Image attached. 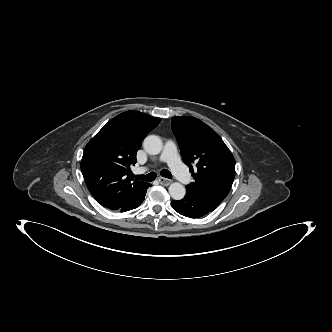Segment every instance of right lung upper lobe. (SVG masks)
Instances as JSON below:
<instances>
[{"mask_svg":"<svg viewBox=\"0 0 332 332\" xmlns=\"http://www.w3.org/2000/svg\"><path fill=\"white\" fill-rule=\"evenodd\" d=\"M161 119L127 111L110 120L86 145L81 171L95 200L106 208L119 207L148 183L133 181L131 166L145 136Z\"/></svg>","mask_w":332,"mask_h":332,"instance_id":"right-lung-upper-lobe-1","label":"right lung upper lobe"}]
</instances>
